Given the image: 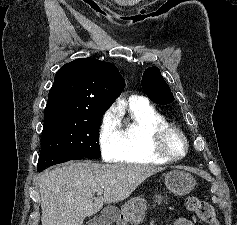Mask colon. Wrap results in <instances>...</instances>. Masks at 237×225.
I'll list each match as a JSON object with an SVG mask.
<instances>
[{"mask_svg":"<svg viewBox=\"0 0 237 225\" xmlns=\"http://www.w3.org/2000/svg\"><path fill=\"white\" fill-rule=\"evenodd\" d=\"M185 205L189 211H194L205 225H219L215 210L210 203L189 196L185 200Z\"/></svg>","mask_w":237,"mask_h":225,"instance_id":"1","label":"colon"}]
</instances>
